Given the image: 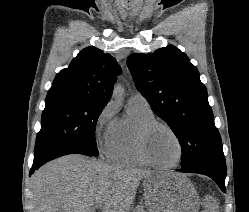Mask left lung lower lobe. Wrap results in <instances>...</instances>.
<instances>
[{
    "label": "left lung lower lobe",
    "mask_w": 249,
    "mask_h": 212,
    "mask_svg": "<svg viewBox=\"0 0 249 212\" xmlns=\"http://www.w3.org/2000/svg\"><path fill=\"white\" fill-rule=\"evenodd\" d=\"M180 172L198 173L212 178L220 189L225 192L226 162L224 154L213 155L193 164L188 168H182Z\"/></svg>",
    "instance_id": "left-lung-lower-lobe-1"
}]
</instances>
